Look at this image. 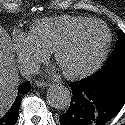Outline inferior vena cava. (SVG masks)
Wrapping results in <instances>:
<instances>
[{
    "label": "inferior vena cava",
    "mask_w": 125,
    "mask_h": 125,
    "mask_svg": "<svg viewBox=\"0 0 125 125\" xmlns=\"http://www.w3.org/2000/svg\"><path fill=\"white\" fill-rule=\"evenodd\" d=\"M39 70V67L38 65H35V64H28L23 73L26 77H29L30 75H34L37 71Z\"/></svg>",
    "instance_id": "obj_1"
}]
</instances>
